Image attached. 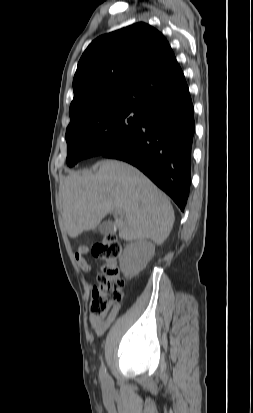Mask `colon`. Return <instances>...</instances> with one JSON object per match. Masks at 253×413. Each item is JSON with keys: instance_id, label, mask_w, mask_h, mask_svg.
Here are the masks:
<instances>
[{"instance_id": "colon-1", "label": "colon", "mask_w": 253, "mask_h": 413, "mask_svg": "<svg viewBox=\"0 0 253 413\" xmlns=\"http://www.w3.org/2000/svg\"><path fill=\"white\" fill-rule=\"evenodd\" d=\"M120 253L121 246L113 234L104 236L92 247L93 256L101 262L97 285L91 294L90 313L93 316L106 315L123 299L125 284L117 264Z\"/></svg>"}]
</instances>
